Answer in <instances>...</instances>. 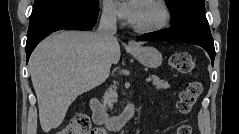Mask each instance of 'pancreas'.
<instances>
[{"mask_svg":"<svg viewBox=\"0 0 239 134\" xmlns=\"http://www.w3.org/2000/svg\"><path fill=\"white\" fill-rule=\"evenodd\" d=\"M153 80V85L158 90H166L170 87V84L164 80H161L159 77L155 75L150 76ZM104 104H107L108 106H112L113 103L117 99V93H116V84L111 86L109 90L105 93L104 97Z\"/></svg>","mask_w":239,"mask_h":134,"instance_id":"1","label":"pancreas"}]
</instances>
